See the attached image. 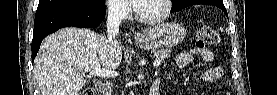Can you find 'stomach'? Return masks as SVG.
Returning a JSON list of instances; mask_svg holds the SVG:
<instances>
[{"instance_id":"0dacf381","label":"stomach","mask_w":277,"mask_h":95,"mask_svg":"<svg viewBox=\"0 0 277 95\" xmlns=\"http://www.w3.org/2000/svg\"><path fill=\"white\" fill-rule=\"evenodd\" d=\"M185 36L186 30L182 25L165 23L144 30L140 37L136 38V42L144 48L157 49L175 46L182 42Z\"/></svg>"}]
</instances>
